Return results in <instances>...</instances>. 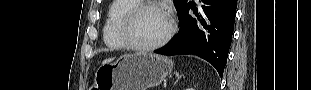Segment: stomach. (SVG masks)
<instances>
[{
  "label": "stomach",
  "instance_id": "0dacf381",
  "mask_svg": "<svg viewBox=\"0 0 311 90\" xmlns=\"http://www.w3.org/2000/svg\"><path fill=\"white\" fill-rule=\"evenodd\" d=\"M172 68L173 62L165 56L127 54L115 63L100 66L90 90H147L158 86Z\"/></svg>",
  "mask_w": 311,
  "mask_h": 90
}]
</instances>
